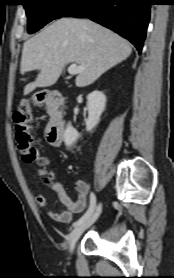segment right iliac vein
Listing matches in <instances>:
<instances>
[{"instance_id": "right-iliac-vein-1", "label": "right iliac vein", "mask_w": 174, "mask_h": 278, "mask_svg": "<svg viewBox=\"0 0 174 278\" xmlns=\"http://www.w3.org/2000/svg\"><path fill=\"white\" fill-rule=\"evenodd\" d=\"M101 212V204H99L95 210V212L93 213V215L91 217H89L85 222H83L82 224L76 226L72 232L69 234L68 237V244H69V251L70 253L73 252L74 246L76 244V242L78 241V239L80 238V236L82 235V233L89 227L91 226L96 219L98 218L99 214Z\"/></svg>"}]
</instances>
